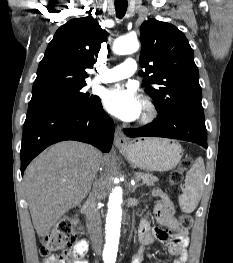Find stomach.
I'll return each mask as SVG.
<instances>
[{
    "instance_id": "obj_1",
    "label": "stomach",
    "mask_w": 233,
    "mask_h": 263,
    "mask_svg": "<svg viewBox=\"0 0 233 263\" xmlns=\"http://www.w3.org/2000/svg\"><path fill=\"white\" fill-rule=\"evenodd\" d=\"M122 154L135 167L147 171H168L181 160V145L170 139L139 138L120 148Z\"/></svg>"
}]
</instances>
